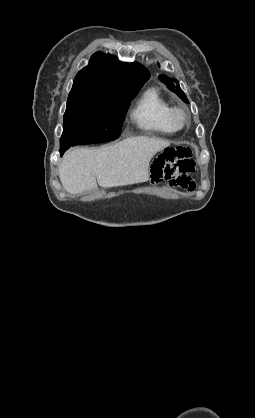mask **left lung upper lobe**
Here are the masks:
<instances>
[{
	"label": "left lung upper lobe",
	"mask_w": 255,
	"mask_h": 418,
	"mask_svg": "<svg viewBox=\"0 0 255 418\" xmlns=\"http://www.w3.org/2000/svg\"><path fill=\"white\" fill-rule=\"evenodd\" d=\"M159 79L167 85V88L169 90L176 93L178 95V97H180L185 103H189L186 95L184 94V92L179 87V83L176 79H173V78L170 79L165 75H160ZM173 82H176L177 86H175V84Z\"/></svg>",
	"instance_id": "1"
}]
</instances>
